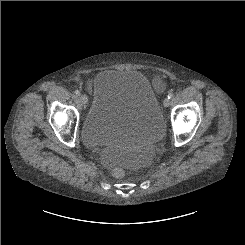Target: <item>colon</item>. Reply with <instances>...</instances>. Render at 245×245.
I'll list each match as a JSON object with an SVG mask.
<instances>
[{"label":"colon","mask_w":245,"mask_h":245,"mask_svg":"<svg viewBox=\"0 0 245 245\" xmlns=\"http://www.w3.org/2000/svg\"><path fill=\"white\" fill-rule=\"evenodd\" d=\"M125 171H126V166L124 164H119L114 168L113 173L116 177H122L124 176Z\"/></svg>","instance_id":"5ec220e1"}]
</instances>
